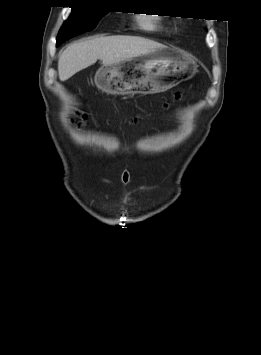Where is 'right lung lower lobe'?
Listing matches in <instances>:
<instances>
[{"label":"right lung lower lobe","instance_id":"1","mask_svg":"<svg viewBox=\"0 0 261 355\" xmlns=\"http://www.w3.org/2000/svg\"><path fill=\"white\" fill-rule=\"evenodd\" d=\"M64 41H66L65 39L63 40H57V46H60Z\"/></svg>","mask_w":261,"mask_h":355}]
</instances>
